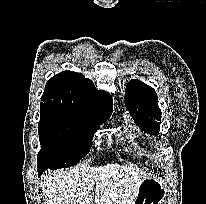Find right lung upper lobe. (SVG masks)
<instances>
[{
	"mask_svg": "<svg viewBox=\"0 0 206 204\" xmlns=\"http://www.w3.org/2000/svg\"><path fill=\"white\" fill-rule=\"evenodd\" d=\"M41 108L78 112L93 118H109L113 101L105 91H98L83 74L64 71L53 76L41 97Z\"/></svg>",
	"mask_w": 206,
	"mask_h": 204,
	"instance_id": "1",
	"label": "right lung upper lobe"
}]
</instances>
